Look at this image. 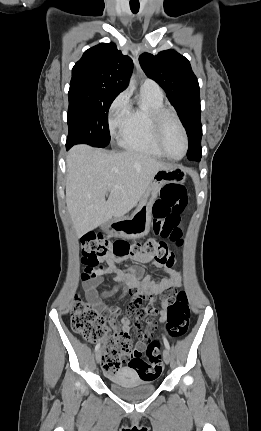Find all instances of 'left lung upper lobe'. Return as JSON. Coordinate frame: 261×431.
I'll return each mask as SVG.
<instances>
[{
	"instance_id": "1",
	"label": "left lung upper lobe",
	"mask_w": 261,
	"mask_h": 431,
	"mask_svg": "<svg viewBox=\"0 0 261 431\" xmlns=\"http://www.w3.org/2000/svg\"><path fill=\"white\" fill-rule=\"evenodd\" d=\"M139 62L145 74L166 92L183 123L188 139L189 160L200 161L202 156L199 84L189 61L174 50L157 55L143 53Z\"/></svg>"
}]
</instances>
